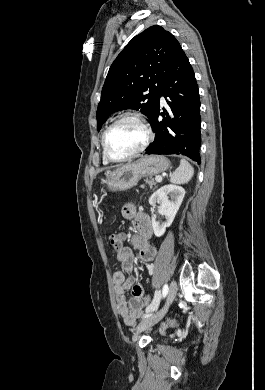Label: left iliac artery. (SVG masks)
Instances as JSON below:
<instances>
[{
  "label": "left iliac artery",
  "instance_id": "1",
  "mask_svg": "<svg viewBox=\"0 0 265 390\" xmlns=\"http://www.w3.org/2000/svg\"><path fill=\"white\" fill-rule=\"evenodd\" d=\"M168 290H169L168 285L165 284L162 290V294L160 291L157 293V299H159L160 297H165L168 293ZM150 315L151 314L145 315L144 318H148Z\"/></svg>",
  "mask_w": 265,
  "mask_h": 390
}]
</instances>
